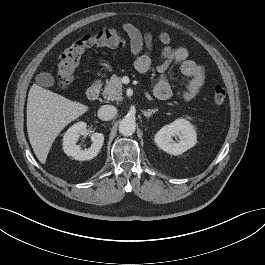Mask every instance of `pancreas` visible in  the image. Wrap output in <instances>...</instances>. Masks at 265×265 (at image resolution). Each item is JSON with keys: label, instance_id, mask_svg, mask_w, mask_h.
Segmentation results:
<instances>
[{"label": "pancreas", "instance_id": "pancreas-1", "mask_svg": "<svg viewBox=\"0 0 265 265\" xmlns=\"http://www.w3.org/2000/svg\"><path fill=\"white\" fill-rule=\"evenodd\" d=\"M103 97L111 101H121L122 98V78L117 75H112L102 93Z\"/></svg>", "mask_w": 265, "mask_h": 265}]
</instances>
